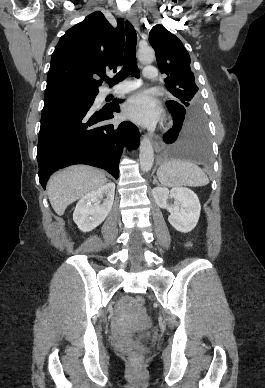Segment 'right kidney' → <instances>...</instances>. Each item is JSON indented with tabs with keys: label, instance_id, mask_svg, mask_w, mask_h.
Instances as JSON below:
<instances>
[{
	"label": "right kidney",
	"instance_id": "1",
	"mask_svg": "<svg viewBox=\"0 0 265 388\" xmlns=\"http://www.w3.org/2000/svg\"><path fill=\"white\" fill-rule=\"evenodd\" d=\"M115 184L109 182L105 186H101L98 190H93L89 194H85L81 200H79L73 214V220L77 224L81 232H91L94 228H97L99 224L104 222L114 202ZM105 200L103 204H99V198Z\"/></svg>",
	"mask_w": 265,
	"mask_h": 388
}]
</instances>
